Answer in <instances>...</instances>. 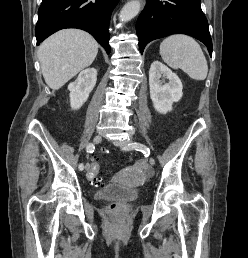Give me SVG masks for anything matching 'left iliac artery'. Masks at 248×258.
Masks as SVG:
<instances>
[{"label":"left iliac artery","instance_id":"44dca946","mask_svg":"<svg viewBox=\"0 0 248 258\" xmlns=\"http://www.w3.org/2000/svg\"><path fill=\"white\" fill-rule=\"evenodd\" d=\"M129 148H134L138 151H141L142 153L146 154V155H150V149L141 143H133V144H129ZM124 150H127V148H123Z\"/></svg>","mask_w":248,"mask_h":258}]
</instances>
